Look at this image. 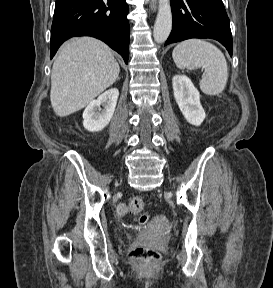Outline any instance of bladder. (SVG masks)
I'll list each match as a JSON object with an SVG mask.
<instances>
[{
  "label": "bladder",
  "mask_w": 273,
  "mask_h": 288,
  "mask_svg": "<svg viewBox=\"0 0 273 288\" xmlns=\"http://www.w3.org/2000/svg\"><path fill=\"white\" fill-rule=\"evenodd\" d=\"M120 237H122V238H123V237H125V235H124V234H120Z\"/></svg>",
  "instance_id": "1"
}]
</instances>
